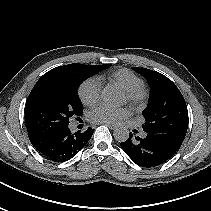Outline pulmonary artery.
Returning a JSON list of instances; mask_svg holds the SVG:
<instances>
[{
	"instance_id": "pulmonary-artery-1",
	"label": "pulmonary artery",
	"mask_w": 211,
	"mask_h": 211,
	"mask_svg": "<svg viewBox=\"0 0 211 211\" xmlns=\"http://www.w3.org/2000/svg\"><path fill=\"white\" fill-rule=\"evenodd\" d=\"M141 136L144 138L146 136V134L145 133H142Z\"/></svg>"
}]
</instances>
